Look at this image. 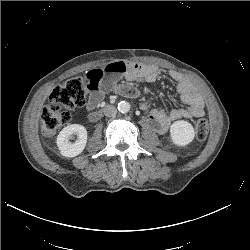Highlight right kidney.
<instances>
[{
    "instance_id": "obj_1",
    "label": "right kidney",
    "mask_w": 250,
    "mask_h": 250,
    "mask_svg": "<svg viewBox=\"0 0 250 250\" xmlns=\"http://www.w3.org/2000/svg\"><path fill=\"white\" fill-rule=\"evenodd\" d=\"M77 135V140L71 143L69 139ZM57 146L61 155L72 158L82 153L87 143V130L79 124L68 125L61 130L57 137Z\"/></svg>"
}]
</instances>
